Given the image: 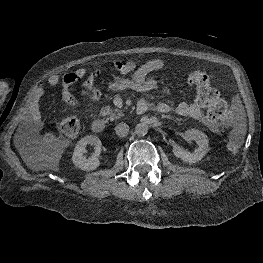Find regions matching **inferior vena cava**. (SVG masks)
<instances>
[{"label":"inferior vena cava","mask_w":263,"mask_h":263,"mask_svg":"<svg viewBox=\"0 0 263 263\" xmlns=\"http://www.w3.org/2000/svg\"><path fill=\"white\" fill-rule=\"evenodd\" d=\"M115 132L118 136L120 137H125L128 135L129 132V126L126 123H119L116 127H115Z\"/></svg>","instance_id":"obj_1"}]
</instances>
